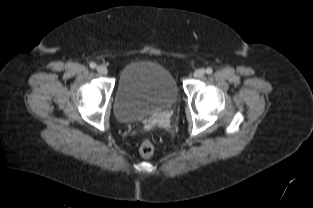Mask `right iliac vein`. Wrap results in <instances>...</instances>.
<instances>
[{
	"label": "right iliac vein",
	"instance_id": "obj_1",
	"mask_svg": "<svg viewBox=\"0 0 313 208\" xmlns=\"http://www.w3.org/2000/svg\"><path fill=\"white\" fill-rule=\"evenodd\" d=\"M96 70L98 71V73H100L102 75H106L108 73L107 68L103 65L97 66Z\"/></svg>",
	"mask_w": 313,
	"mask_h": 208
}]
</instances>
